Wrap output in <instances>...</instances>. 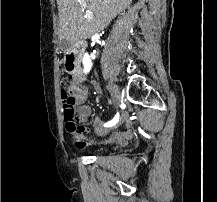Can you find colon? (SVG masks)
<instances>
[{
	"label": "colon",
	"instance_id": "obj_1",
	"mask_svg": "<svg viewBox=\"0 0 217 202\" xmlns=\"http://www.w3.org/2000/svg\"><path fill=\"white\" fill-rule=\"evenodd\" d=\"M62 100L64 109V118L68 132H82L83 129L77 125V118L75 115V106L73 99V89H62Z\"/></svg>",
	"mask_w": 217,
	"mask_h": 202
}]
</instances>
